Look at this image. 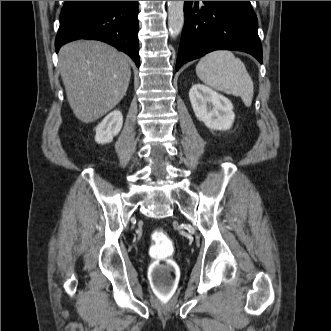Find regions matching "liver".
Returning a JSON list of instances; mask_svg holds the SVG:
<instances>
[{"label": "liver", "mask_w": 331, "mask_h": 331, "mask_svg": "<svg viewBox=\"0 0 331 331\" xmlns=\"http://www.w3.org/2000/svg\"><path fill=\"white\" fill-rule=\"evenodd\" d=\"M60 74L74 115L91 123L125 96L131 69L115 48L94 40L70 42L59 51Z\"/></svg>", "instance_id": "obj_1"}]
</instances>
